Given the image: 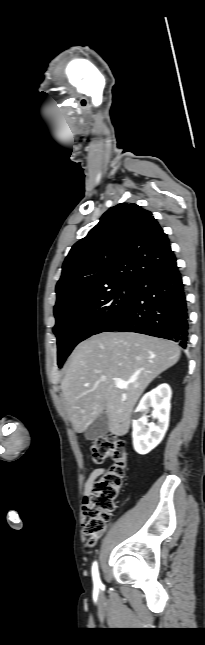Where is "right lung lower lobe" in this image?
<instances>
[{
    "label": "right lung lower lobe",
    "mask_w": 205,
    "mask_h": 645,
    "mask_svg": "<svg viewBox=\"0 0 205 645\" xmlns=\"http://www.w3.org/2000/svg\"><path fill=\"white\" fill-rule=\"evenodd\" d=\"M134 285L131 305L102 332L143 333L178 342L186 348L189 317L176 259L152 269Z\"/></svg>",
    "instance_id": "right-lung-lower-lobe-1"
}]
</instances>
